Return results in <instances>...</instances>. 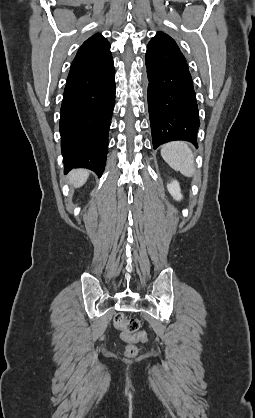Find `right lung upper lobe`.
Segmentation results:
<instances>
[{
  "instance_id": "right-lung-upper-lobe-1",
  "label": "right lung upper lobe",
  "mask_w": 255,
  "mask_h": 418,
  "mask_svg": "<svg viewBox=\"0 0 255 418\" xmlns=\"http://www.w3.org/2000/svg\"><path fill=\"white\" fill-rule=\"evenodd\" d=\"M111 56L110 44L100 34H94L79 48L71 67L91 64Z\"/></svg>"
}]
</instances>
